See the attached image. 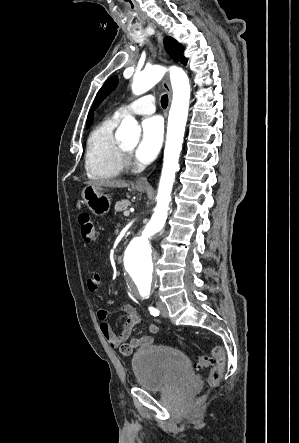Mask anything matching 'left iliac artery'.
Here are the masks:
<instances>
[{
  "label": "left iliac artery",
  "instance_id": "left-iliac-artery-1",
  "mask_svg": "<svg viewBox=\"0 0 299 443\" xmlns=\"http://www.w3.org/2000/svg\"><path fill=\"white\" fill-rule=\"evenodd\" d=\"M149 311H150V314L153 315V316H158L159 315V310L156 309L155 307L150 306L149 307Z\"/></svg>",
  "mask_w": 299,
  "mask_h": 443
}]
</instances>
